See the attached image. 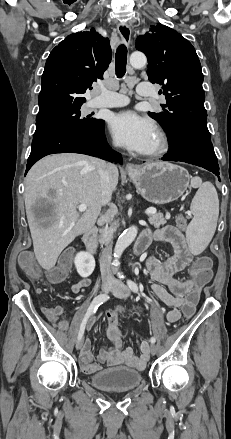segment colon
I'll use <instances>...</instances> for the list:
<instances>
[{"label":"colon","mask_w":231,"mask_h":439,"mask_svg":"<svg viewBox=\"0 0 231 439\" xmlns=\"http://www.w3.org/2000/svg\"><path fill=\"white\" fill-rule=\"evenodd\" d=\"M177 225L180 229H185L187 226V218L180 216L177 219ZM73 259V252L66 250L59 258L57 264L49 270L47 278L52 283L63 282L71 269ZM21 268L30 276L37 278L40 276V270L30 253H23L19 259ZM212 260L207 256L198 257L191 268L192 281L194 287H191L182 299L180 304V313L185 321H192L196 316V306L198 304L199 296L205 291V287L210 285L213 279ZM50 309H46L45 318H50Z\"/></svg>","instance_id":"5ec220e1"}]
</instances>
